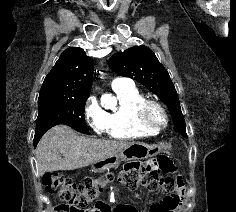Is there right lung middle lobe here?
Wrapping results in <instances>:
<instances>
[{
	"mask_svg": "<svg viewBox=\"0 0 236 212\" xmlns=\"http://www.w3.org/2000/svg\"><path fill=\"white\" fill-rule=\"evenodd\" d=\"M87 96L65 98L48 97L38 99L39 114L34 136V146L42 135L58 124L71 126L78 132L90 135L84 121V106Z\"/></svg>",
	"mask_w": 236,
	"mask_h": 212,
	"instance_id": "right-lung-middle-lobe-1",
	"label": "right lung middle lobe"
}]
</instances>
